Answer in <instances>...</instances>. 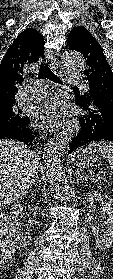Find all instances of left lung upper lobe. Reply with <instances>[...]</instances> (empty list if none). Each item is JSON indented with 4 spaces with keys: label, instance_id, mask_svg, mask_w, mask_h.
Returning <instances> with one entry per match:
<instances>
[{
    "label": "left lung upper lobe",
    "instance_id": "left-lung-upper-lobe-1",
    "mask_svg": "<svg viewBox=\"0 0 113 279\" xmlns=\"http://www.w3.org/2000/svg\"><path fill=\"white\" fill-rule=\"evenodd\" d=\"M67 44L71 50L83 54L88 67L84 75L89 83L90 94L78 93L76 96L87 98L86 100L91 102L92 94L96 92L111 101L113 99V74L100 44L83 26L72 29L67 38Z\"/></svg>",
    "mask_w": 113,
    "mask_h": 279
}]
</instances>
